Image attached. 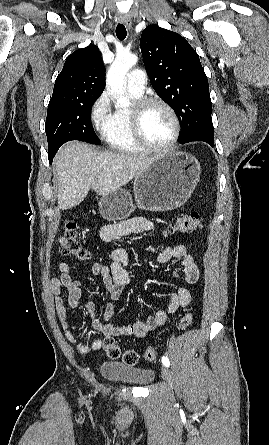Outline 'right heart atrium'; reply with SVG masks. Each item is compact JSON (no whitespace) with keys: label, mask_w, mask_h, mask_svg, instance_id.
<instances>
[{"label":"right heart atrium","mask_w":269,"mask_h":445,"mask_svg":"<svg viewBox=\"0 0 269 445\" xmlns=\"http://www.w3.org/2000/svg\"><path fill=\"white\" fill-rule=\"evenodd\" d=\"M91 119L95 126L101 127L110 115L109 97L106 92L102 93L91 106Z\"/></svg>","instance_id":"obj_1"}]
</instances>
